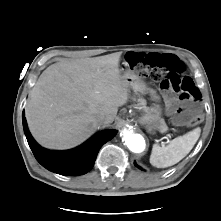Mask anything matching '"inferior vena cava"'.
<instances>
[{
  "label": "inferior vena cava",
  "instance_id": "inferior-vena-cava-1",
  "mask_svg": "<svg viewBox=\"0 0 221 221\" xmlns=\"http://www.w3.org/2000/svg\"><path fill=\"white\" fill-rule=\"evenodd\" d=\"M96 119L99 123H102L105 119V116L103 114H99L97 115Z\"/></svg>",
  "mask_w": 221,
  "mask_h": 221
}]
</instances>
